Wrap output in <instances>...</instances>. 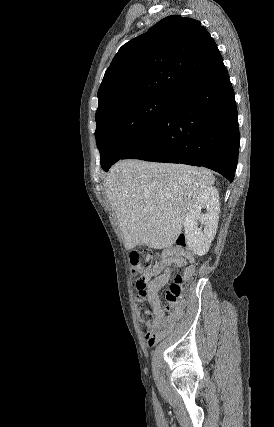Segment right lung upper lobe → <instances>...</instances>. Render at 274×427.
Segmentation results:
<instances>
[{
	"instance_id": "1",
	"label": "right lung upper lobe",
	"mask_w": 274,
	"mask_h": 427,
	"mask_svg": "<svg viewBox=\"0 0 274 427\" xmlns=\"http://www.w3.org/2000/svg\"><path fill=\"white\" fill-rule=\"evenodd\" d=\"M223 68L217 45L200 21L168 16L119 49L99 88L96 116L133 97L177 96Z\"/></svg>"
}]
</instances>
